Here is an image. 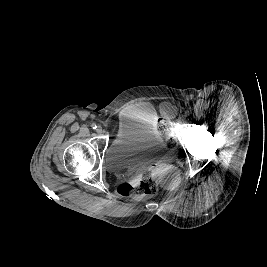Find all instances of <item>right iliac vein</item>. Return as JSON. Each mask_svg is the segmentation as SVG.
Segmentation results:
<instances>
[{"instance_id": "obj_1", "label": "right iliac vein", "mask_w": 267, "mask_h": 267, "mask_svg": "<svg viewBox=\"0 0 267 267\" xmlns=\"http://www.w3.org/2000/svg\"><path fill=\"white\" fill-rule=\"evenodd\" d=\"M102 127L101 126H98L97 128H96V132L98 133V134H101L102 133Z\"/></svg>"}]
</instances>
